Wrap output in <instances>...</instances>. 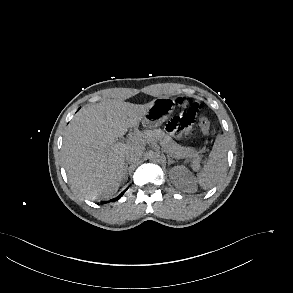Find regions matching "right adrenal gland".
Segmentation results:
<instances>
[{"instance_id": "right-adrenal-gland-1", "label": "right adrenal gland", "mask_w": 293, "mask_h": 293, "mask_svg": "<svg viewBox=\"0 0 293 293\" xmlns=\"http://www.w3.org/2000/svg\"><path fill=\"white\" fill-rule=\"evenodd\" d=\"M124 179L127 180L128 178V164H125L124 171H123Z\"/></svg>"}]
</instances>
